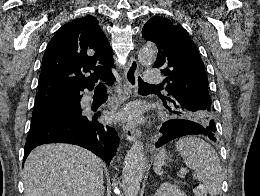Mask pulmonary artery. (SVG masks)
Returning a JSON list of instances; mask_svg holds the SVG:
<instances>
[{"instance_id":"1","label":"pulmonary artery","mask_w":260,"mask_h":196,"mask_svg":"<svg viewBox=\"0 0 260 196\" xmlns=\"http://www.w3.org/2000/svg\"><path fill=\"white\" fill-rule=\"evenodd\" d=\"M146 73L145 84H160L163 81L162 72H158V69H147Z\"/></svg>"}]
</instances>
